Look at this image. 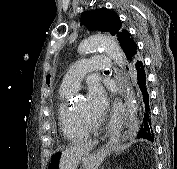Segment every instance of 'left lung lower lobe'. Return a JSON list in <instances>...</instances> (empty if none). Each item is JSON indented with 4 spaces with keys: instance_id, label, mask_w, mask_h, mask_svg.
<instances>
[{
    "instance_id": "left-lung-lower-lobe-1",
    "label": "left lung lower lobe",
    "mask_w": 177,
    "mask_h": 169,
    "mask_svg": "<svg viewBox=\"0 0 177 169\" xmlns=\"http://www.w3.org/2000/svg\"><path fill=\"white\" fill-rule=\"evenodd\" d=\"M137 55H138V46L135 42H131L130 45L128 46L125 56L130 64V68L133 70L135 75L138 95H139V99L143 111L142 124L137 134V138L138 139L143 138L153 142L154 127L151 119V112L149 106V94H148L147 82H146L145 65L141 59H137ZM128 69L129 68L127 67V70Z\"/></svg>"
}]
</instances>
